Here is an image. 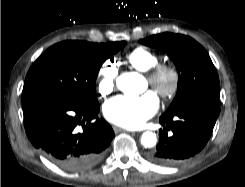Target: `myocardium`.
<instances>
[{
  "mask_svg": "<svg viewBox=\"0 0 245 187\" xmlns=\"http://www.w3.org/2000/svg\"><path fill=\"white\" fill-rule=\"evenodd\" d=\"M147 80L162 99L170 100L179 91L181 76L173 64L158 63L147 72Z\"/></svg>",
  "mask_w": 245,
  "mask_h": 187,
  "instance_id": "myocardium-1",
  "label": "myocardium"
}]
</instances>
